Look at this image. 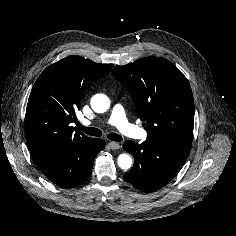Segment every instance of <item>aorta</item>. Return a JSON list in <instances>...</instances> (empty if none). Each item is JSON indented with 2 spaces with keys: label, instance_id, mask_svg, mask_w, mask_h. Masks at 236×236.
<instances>
[{
  "label": "aorta",
  "instance_id": "obj_1",
  "mask_svg": "<svg viewBox=\"0 0 236 236\" xmlns=\"http://www.w3.org/2000/svg\"><path fill=\"white\" fill-rule=\"evenodd\" d=\"M110 106L109 99L105 96L102 99L101 104H98L97 102L92 101L91 107L92 109L97 113H103L108 110ZM132 165V158L128 154H121L118 157V166L122 169H129Z\"/></svg>",
  "mask_w": 236,
  "mask_h": 236
}]
</instances>
